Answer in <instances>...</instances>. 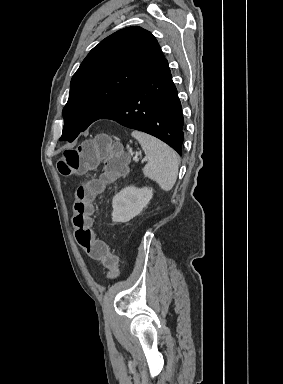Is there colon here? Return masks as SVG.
I'll list each match as a JSON object with an SVG mask.
<instances>
[{"label": "colon", "instance_id": "obj_1", "mask_svg": "<svg viewBox=\"0 0 283 384\" xmlns=\"http://www.w3.org/2000/svg\"><path fill=\"white\" fill-rule=\"evenodd\" d=\"M104 163V172L98 178L78 186L72 204V224L77 244L87 255L100 261L107 269L109 279L119 274L118 258L102 240L95 239L92 230L93 202L105 186L127 172L128 158L106 135L99 134L64 151L57 167L61 175L82 174Z\"/></svg>", "mask_w": 283, "mask_h": 384}]
</instances>
